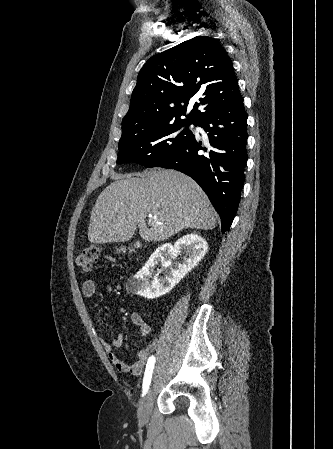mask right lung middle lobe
Instances as JSON below:
<instances>
[{"mask_svg":"<svg viewBox=\"0 0 333 449\" xmlns=\"http://www.w3.org/2000/svg\"><path fill=\"white\" fill-rule=\"evenodd\" d=\"M190 124L197 125V122L174 120L120 141L117 164L134 162L145 167L157 166L193 136L188 129ZM184 126L186 128L181 130Z\"/></svg>","mask_w":333,"mask_h":449,"instance_id":"1","label":"right lung middle lobe"}]
</instances>
